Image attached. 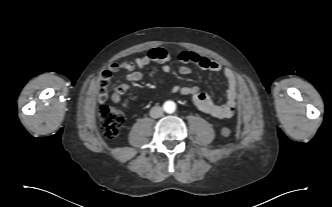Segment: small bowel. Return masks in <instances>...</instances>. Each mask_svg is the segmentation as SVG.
Masks as SVG:
<instances>
[{
	"mask_svg": "<svg viewBox=\"0 0 332 207\" xmlns=\"http://www.w3.org/2000/svg\"><path fill=\"white\" fill-rule=\"evenodd\" d=\"M178 59L184 64H195L203 70L212 72H223V75L228 83V89L226 99L222 102H214L211 98L196 86L181 87L178 84H174L171 88V92L180 93L182 95L190 96L194 105L205 114H208L214 118L224 119L233 116L237 97V77L233 70L230 68L222 69V66L215 60L208 57L199 55L192 51H183L178 54ZM171 56L163 48H154L150 50L146 55L137 57L133 61L114 62L109 68L102 72L100 78L101 86L106 85L113 73L125 70L128 72L126 79L131 82H136L142 79V69L148 67L152 63L159 64L162 72L169 74L171 72L170 67ZM180 74L187 75L190 73V68L187 65L180 67ZM126 90L125 85L118 87V92L123 93ZM101 99V96H100Z\"/></svg>",
	"mask_w": 332,
	"mask_h": 207,
	"instance_id": "1",
	"label": "small bowel"
}]
</instances>
